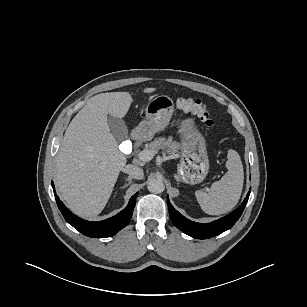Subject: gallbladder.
<instances>
[{"label":"gallbladder","mask_w":307,"mask_h":307,"mask_svg":"<svg viewBox=\"0 0 307 307\" xmlns=\"http://www.w3.org/2000/svg\"><path fill=\"white\" fill-rule=\"evenodd\" d=\"M108 125L113 136L118 141H123L127 138L128 129L122 119L108 115Z\"/></svg>","instance_id":"obj_1"}]
</instances>
